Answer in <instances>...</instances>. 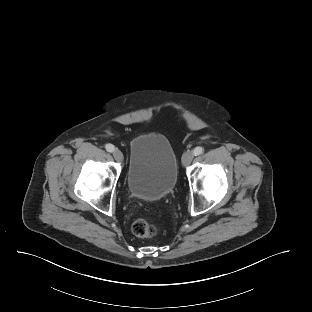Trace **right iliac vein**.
<instances>
[{
    "label": "right iliac vein",
    "instance_id": "right-iliac-vein-1",
    "mask_svg": "<svg viewBox=\"0 0 312 312\" xmlns=\"http://www.w3.org/2000/svg\"><path fill=\"white\" fill-rule=\"evenodd\" d=\"M113 157L118 162H122L124 158L122 152L118 149L113 152Z\"/></svg>",
    "mask_w": 312,
    "mask_h": 312
}]
</instances>
